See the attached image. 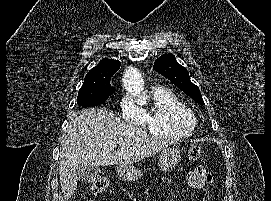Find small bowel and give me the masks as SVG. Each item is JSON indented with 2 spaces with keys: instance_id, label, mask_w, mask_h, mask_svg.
<instances>
[{
  "instance_id": "1",
  "label": "small bowel",
  "mask_w": 271,
  "mask_h": 201,
  "mask_svg": "<svg viewBox=\"0 0 271 201\" xmlns=\"http://www.w3.org/2000/svg\"><path fill=\"white\" fill-rule=\"evenodd\" d=\"M186 179L188 185L194 189H202L213 182L212 175L203 166L191 170Z\"/></svg>"
}]
</instances>
